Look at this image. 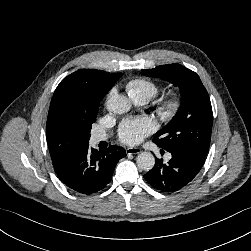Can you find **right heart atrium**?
I'll return each mask as SVG.
<instances>
[{"label":"right heart atrium","mask_w":251,"mask_h":251,"mask_svg":"<svg viewBox=\"0 0 251 251\" xmlns=\"http://www.w3.org/2000/svg\"><path fill=\"white\" fill-rule=\"evenodd\" d=\"M113 94V91L110 92L109 96H111Z\"/></svg>","instance_id":"d8ad5b80"}]
</instances>
